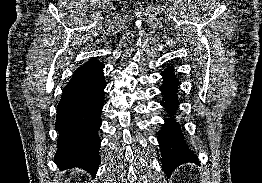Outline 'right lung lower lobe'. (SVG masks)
<instances>
[{"instance_id":"obj_1","label":"right lung lower lobe","mask_w":262,"mask_h":183,"mask_svg":"<svg viewBox=\"0 0 262 183\" xmlns=\"http://www.w3.org/2000/svg\"><path fill=\"white\" fill-rule=\"evenodd\" d=\"M103 68V63L89 60L75 71L62 93L57 107L59 138L54 161L63 170L78 167L92 175L98 170V130L106 86Z\"/></svg>"}]
</instances>
